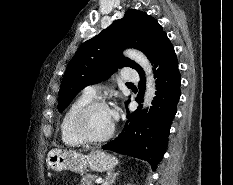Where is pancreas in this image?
<instances>
[{
	"label": "pancreas",
	"instance_id": "obj_1",
	"mask_svg": "<svg viewBox=\"0 0 233 185\" xmlns=\"http://www.w3.org/2000/svg\"><path fill=\"white\" fill-rule=\"evenodd\" d=\"M97 178H98L97 175L86 174L85 176L82 177L80 184L78 185H93V181Z\"/></svg>",
	"mask_w": 233,
	"mask_h": 185
}]
</instances>
